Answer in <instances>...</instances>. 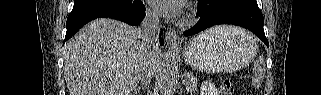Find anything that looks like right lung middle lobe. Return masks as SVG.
I'll use <instances>...</instances> for the list:
<instances>
[{
	"label": "right lung middle lobe",
	"mask_w": 321,
	"mask_h": 95,
	"mask_svg": "<svg viewBox=\"0 0 321 95\" xmlns=\"http://www.w3.org/2000/svg\"><path fill=\"white\" fill-rule=\"evenodd\" d=\"M138 1L139 0H74L73 10L108 6L129 8L136 5Z\"/></svg>",
	"instance_id": "obj_1"
}]
</instances>
